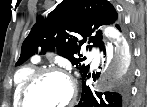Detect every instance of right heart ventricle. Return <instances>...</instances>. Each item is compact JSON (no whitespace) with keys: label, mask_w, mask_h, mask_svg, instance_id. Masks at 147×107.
Returning a JSON list of instances; mask_svg holds the SVG:
<instances>
[{"label":"right heart ventricle","mask_w":147,"mask_h":107,"mask_svg":"<svg viewBox=\"0 0 147 107\" xmlns=\"http://www.w3.org/2000/svg\"><path fill=\"white\" fill-rule=\"evenodd\" d=\"M37 70L34 64L18 69L13 79V104L15 107H23L20 102L21 91L30 76Z\"/></svg>","instance_id":"1"}]
</instances>
